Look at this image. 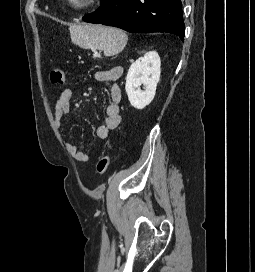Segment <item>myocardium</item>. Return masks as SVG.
<instances>
[{"label":"myocardium","instance_id":"obj_1","mask_svg":"<svg viewBox=\"0 0 255 272\" xmlns=\"http://www.w3.org/2000/svg\"><path fill=\"white\" fill-rule=\"evenodd\" d=\"M66 2L73 10L84 11L96 6L99 0H66Z\"/></svg>","mask_w":255,"mask_h":272}]
</instances>
